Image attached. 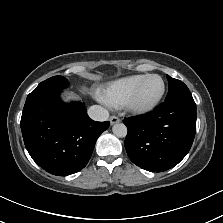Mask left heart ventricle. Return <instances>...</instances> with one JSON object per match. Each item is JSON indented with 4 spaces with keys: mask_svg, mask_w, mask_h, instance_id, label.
<instances>
[{
    "mask_svg": "<svg viewBox=\"0 0 223 223\" xmlns=\"http://www.w3.org/2000/svg\"><path fill=\"white\" fill-rule=\"evenodd\" d=\"M161 81L158 77H149L145 79L135 98V104L146 106L155 100L161 91Z\"/></svg>",
    "mask_w": 223,
    "mask_h": 223,
    "instance_id": "1",
    "label": "left heart ventricle"
}]
</instances>
